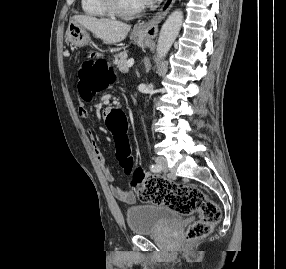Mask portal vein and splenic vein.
Listing matches in <instances>:
<instances>
[{
    "instance_id": "obj_1",
    "label": "portal vein and splenic vein",
    "mask_w": 286,
    "mask_h": 269,
    "mask_svg": "<svg viewBox=\"0 0 286 269\" xmlns=\"http://www.w3.org/2000/svg\"><path fill=\"white\" fill-rule=\"evenodd\" d=\"M133 64H134V60H133V59H129L128 62H127L128 68H129V67H132Z\"/></svg>"
}]
</instances>
